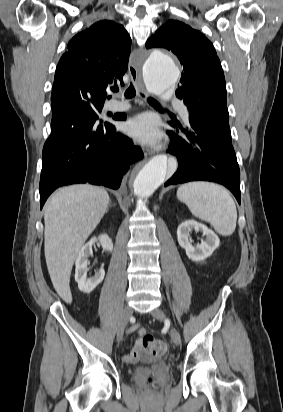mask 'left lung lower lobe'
Returning a JSON list of instances; mask_svg holds the SVG:
<instances>
[{
	"mask_svg": "<svg viewBox=\"0 0 283 412\" xmlns=\"http://www.w3.org/2000/svg\"><path fill=\"white\" fill-rule=\"evenodd\" d=\"M170 125L175 128L172 122ZM181 130V135L167 132L171 137L168 152L177 157L179 166L165 186L197 180L212 181L227 187L240 204V170L232 143L226 138H216L191 121L187 129Z\"/></svg>",
	"mask_w": 283,
	"mask_h": 412,
	"instance_id": "1",
	"label": "left lung lower lobe"
}]
</instances>
